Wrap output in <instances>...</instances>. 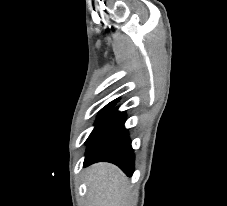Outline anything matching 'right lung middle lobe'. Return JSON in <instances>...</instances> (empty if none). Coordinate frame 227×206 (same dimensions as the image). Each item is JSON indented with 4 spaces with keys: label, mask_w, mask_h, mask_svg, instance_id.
I'll return each instance as SVG.
<instances>
[{
    "label": "right lung middle lobe",
    "mask_w": 227,
    "mask_h": 206,
    "mask_svg": "<svg viewBox=\"0 0 227 206\" xmlns=\"http://www.w3.org/2000/svg\"><path fill=\"white\" fill-rule=\"evenodd\" d=\"M118 102V100H114L112 102H110L108 105H106L100 112V114L98 115L96 124H98V122L100 121V119Z\"/></svg>",
    "instance_id": "dd1d6c3e"
}]
</instances>
